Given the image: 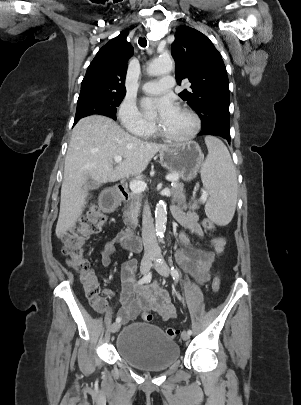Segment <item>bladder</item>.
Returning <instances> with one entry per match:
<instances>
[{"mask_svg":"<svg viewBox=\"0 0 301 405\" xmlns=\"http://www.w3.org/2000/svg\"><path fill=\"white\" fill-rule=\"evenodd\" d=\"M115 348L124 361L143 371H162L177 361L179 345L161 328L133 322L118 334Z\"/></svg>","mask_w":301,"mask_h":405,"instance_id":"1","label":"bladder"}]
</instances>
